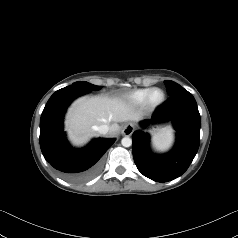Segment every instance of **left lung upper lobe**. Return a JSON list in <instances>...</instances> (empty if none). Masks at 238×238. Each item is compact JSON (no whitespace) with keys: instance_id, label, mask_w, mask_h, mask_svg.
<instances>
[{"instance_id":"obj_1","label":"left lung upper lobe","mask_w":238,"mask_h":238,"mask_svg":"<svg viewBox=\"0 0 238 238\" xmlns=\"http://www.w3.org/2000/svg\"><path fill=\"white\" fill-rule=\"evenodd\" d=\"M165 86L167 88V93L171 96L176 94L178 91L184 89L183 87H181L179 84L175 83L174 81H170V80H165L164 81Z\"/></svg>"}]
</instances>
